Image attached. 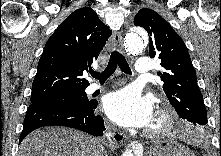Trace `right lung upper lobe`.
Returning <instances> with one entry per match:
<instances>
[{
    "label": "right lung upper lobe",
    "instance_id": "1",
    "mask_svg": "<svg viewBox=\"0 0 221 156\" xmlns=\"http://www.w3.org/2000/svg\"><path fill=\"white\" fill-rule=\"evenodd\" d=\"M112 31L90 7L71 13L47 41L32 84L31 100L85 90L91 68Z\"/></svg>",
    "mask_w": 221,
    "mask_h": 156
}]
</instances>
